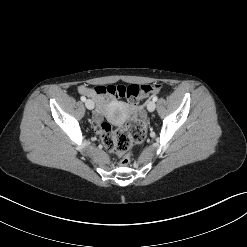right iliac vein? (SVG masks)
<instances>
[{
    "label": "right iliac vein",
    "mask_w": 247,
    "mask_h": 247,
    "mask_svg": "<svg viewBox=\"0 0 247 247\" xmlns=\"http://www.w3.org/2000/svg\"><path fill=\"white\" fill-rule=\"evenodd\" d=\"M85 106L87 109L92 110L94 108V102L91 99L85 101Z\"/></svg>",
    "instance_id": "obj_1"
}]
</instances>
